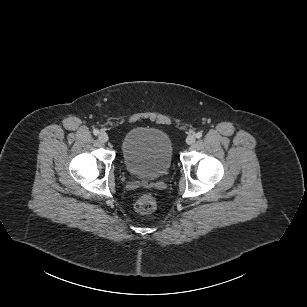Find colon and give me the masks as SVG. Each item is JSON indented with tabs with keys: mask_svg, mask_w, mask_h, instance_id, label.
<instances>
[{
	"mask_svg": "<svg viewBox=\"0 0 307 307\" xmlns=\"http://www.w3.org/2000/svg\"><path fill=\"white\" fill-rule=\"evenodd\" d=\"M157 207L156 198L150 193H144L138 197L134 204V209L140 214L153 212Z\"/></svg>",
	"mask_w": 307,
	"mask_h": 307,
	"instance_id": "obj_1",
	"label": "colon"
}]
</instances>
